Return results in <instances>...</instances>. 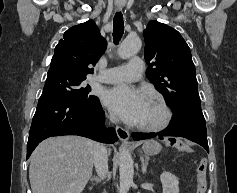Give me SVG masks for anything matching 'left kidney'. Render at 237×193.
<instances>
[{"instance_id": "1", "label": "left kidney", "mask_w": 237, "mask_h": 193, "mask_svg": "<svg viewBox=\"0 0 237 193\" xmlns=\"http://www.w3.org/2000/svg\"><path fill=\"white\" fill-rule=\"evenodd\" d=\"M160 179L163 186V193H179V181L175 175L169 172H163Z\"/></svg>"}]
</instances>
